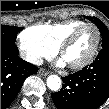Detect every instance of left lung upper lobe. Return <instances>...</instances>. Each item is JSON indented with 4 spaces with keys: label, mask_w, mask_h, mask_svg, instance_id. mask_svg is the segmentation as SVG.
<instances>
[{
    "label": "left lung upper lobe",
    "mask_w": 109,
    "mask_h": 109,
    "mask_svg": "<svg viewBox=\"0 0 109 109\" xmlns=\"http://www.w3.org/2000/svg\"><path fill=\"white\" fill-rule=\"evenodd\" d=\"M89 20L94 21V23L96 24V26L99 28L101 34H102V48L103 47H107L109 46V30L108 28L98 19L93 17H87Z\"/></svg>",
    "instance_id": "5c2ea615"
}]
</instances>
